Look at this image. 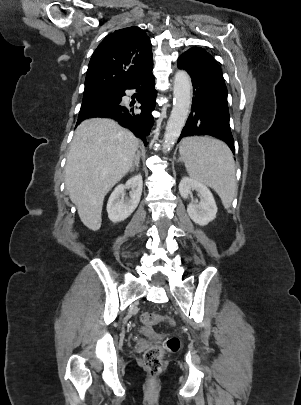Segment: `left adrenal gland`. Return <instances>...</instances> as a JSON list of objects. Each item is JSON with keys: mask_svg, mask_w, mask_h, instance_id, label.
Here are the masks:
<instances>
[{"mask_svg": "<svg viewBox=\"0 0 301 405\" xmlns=\"http://www.w3.org/2000/svg\"><path fill=\"white\" fill-rule=\"evenodd\" d=\"M178 162H182V159H181V158H179V159H178Z\"/></svg>", "mask_w": 301, "mask_h": 405, "instance_id": "1", "label": "left adrenal gland"}]
</instances>
